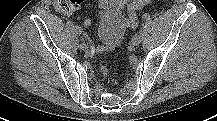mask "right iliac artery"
<instances>
[{
    "mask_svg": "<svg viewBox=\"0 0 217 121\" xmlns=\"http://www.w3.org/2000/svg\"><path fill=\"white\" fill-rule=\"evenodd\" d=\"M75 32H76V34L79 35V36H82V34H83V31H82V29H81L80 27H76V28H75Z\"/></svg>",
    "mask_w": 217,
    "mask_h": 121,
    "instance_id": "obj_1",
    "label": "right iliac artery"
}]
</instances>
